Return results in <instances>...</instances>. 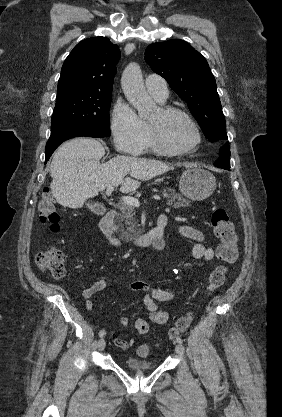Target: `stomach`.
<instances>
[{
    "mask_svg": "<svg viewBox=\"0 0 282 417\" xmlns=\"http://www.w3.org/2000/svg\"><path fill=\"white\" fill-rule=\"evenodd\" d=\"M179 188L184 196L191 200H203L213 194L216 188V178L205 168H187L180 176Z\"/></svg>",
    "mask_w": 282,
    "mask_h": 417,
    "instance_id": "obj_1",
    "label": "stomach"
}]
</instances>
